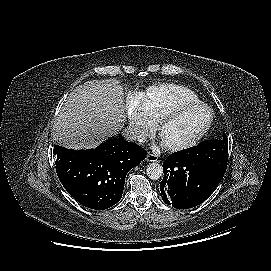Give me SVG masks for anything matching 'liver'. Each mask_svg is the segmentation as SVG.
<instances>
[{"mask_svg": "<svg viewBox=\"0 0 271 271\" xmlns=\"http://www.w3.org/2000/svg\"><path fill=\"white\" fill-rule=\"evenodd\" d=\"M123 88L117 83L89 81L69 94L54 126L57 143L92 148L122 129L125 122Z\"/></svg>", "mask_w": 271, "mask_h": 271, "instance_id": "1", "label": "liver"}]
</instances>
